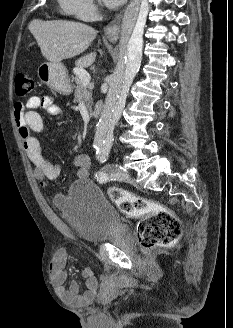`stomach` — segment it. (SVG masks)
Returning a JSON list of instances; mask_svg holds the SVG:
<instances>
[{
    "label": "stomach",
    "mask_w": 233,
    "mask_h": 328,
    "mask_svg": "<svg viewBox=\"0 0 233 328\" xmlns=\"http://www.w3.org/2000/svg\"><path fill=\"white\" fill-rule=\"evenodd\" d=\"M37 73L39 79L51 89L64 95L71 93L72 86L68 79L67 69L62 63H42Z\"/></svg>",
    "instance_id": "obj_1"
}]
</instances>
